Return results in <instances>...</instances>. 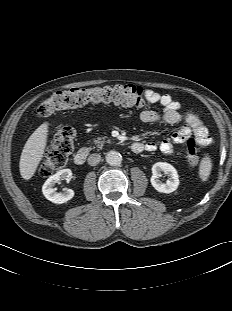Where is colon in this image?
<instances>
[{"label": "colon", "instance_id": "5ec220e1", "mask_svg": "<svg viewBox=\"0 0 232 311\" xmlns=\"http://www.w3.org/2000/svg\"><path fill=\"white\" fill-rule=\"evenodd\" d=\"M88 103H113L126 107H143L145 95L142 88L135 85L113 87L72 88L53 93L38 106L40 117L55 112L83 106ZM75 130L68 125L59 126L53 136L52 144L43 157L39 173L43 176L64 167L74 150ZM186 161L194 168L199 163L197 141L189 138L186 142Z\"/></svg>", "mask_w": 232, "mask_h": 311}]
</instances>
